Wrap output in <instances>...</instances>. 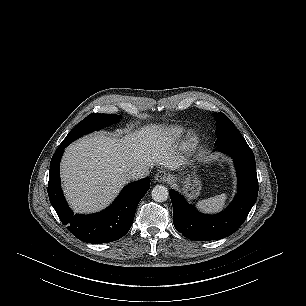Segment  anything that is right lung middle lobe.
<instances>
[{
    "mask_svg": "<svg viewBox=\"0 0 306 306\" xmlns=\"http://www.w3.org/2000/svg\"><path fill=\"white\" fill-rule=\"evenodd\" d=\"M120 115L116 114H97L92 113L88 115L85 119L79 122L66 136L61 144L69 145L72 141L78 139L79 137L93 132L95 130H100L103 127L115 124L119 121Z\"/></svg>",
    "mask_w": 306,
    "mask_h": 306,
    "instance_id": "1",
    "label": "right lung middle lobe"
}]
</instances>
